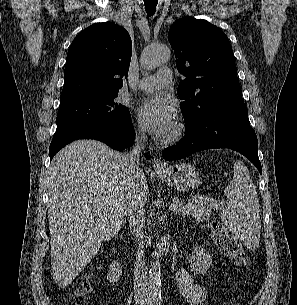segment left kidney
<instances>
[{
	"label": "left kidney",
	"instance_id": "left-kidney-1",
	"mask_svg": "<svg viewBox=\"0 0 297 305\" xmlns=\"http://www.w3.org/2000/svg\"><path fill=\"white\" fill-rule=\"evenodd\" d=\"M191 271L196 272V274L204 275L208 268L212 266L211 255L205 251V249L195 246L193 248L192 256L190 258Z\"/></svg>",
	"mask_w": 297,
	"mask_h": 305
}]
</instances>
